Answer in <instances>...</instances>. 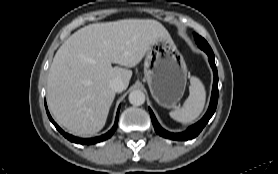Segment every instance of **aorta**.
<instances>
[{
	"label": "aorta",
	"instance_id": "762f6f07",
	"mask_svg": "<svg viewBox=\"0 0 278 174\" xmlns=\"http://www.w3.org/2000/svg\"><path fill=\"white\" fill-rule=\"evenodd\" d=\"M129 102L134 106H140L145 102V94L140 90H134L129 94Z\"/></svg>",
	"mask_w": 278,
	"mask_h": 174
}]
</instances>
